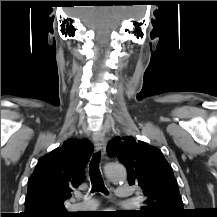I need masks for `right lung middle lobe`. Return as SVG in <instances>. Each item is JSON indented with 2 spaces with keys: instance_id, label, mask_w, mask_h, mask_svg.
I'll return each mask as SVG.
<instances>
[{
  "instance_id": "right-lung-middle-lobe-1",
  "label": "right lung middle lobe",
  "mask_w": 217,
  "mask_h": 217,
  "mask_svg": "<svg viewBox=\"0 0 217 217\" xmlns=\"http://www.w3.org/2000/svg\"><path fill=\"white\" fill-rule=\"evenodd\" d=\"M55 217H67L65 215H56Z\"/></svg>"
}]
</instances>
